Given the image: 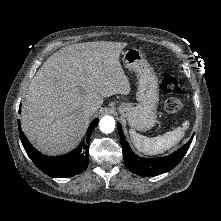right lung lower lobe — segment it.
I'll list each match as a JSON object with an SVG mask.
<instances>
[{
  "label": "right lung lower lobe",
  "mask_w": 221,
  "mask_h": 221,
  "mask_svg": "<svg viewBox=\"0 0 221 221\" xmlns=\"http://www.w3.org/2000/svg\"><path fill=\"white\" fill-rule=\"evenodd\" d=\"M98 121L95 119L90 124L85 143L73 152L57 157H49L37 151L22 132L19 120L18 128L23 147L34 164L50 177L66 178L77 175L87 168L89 164V140Z\"/></svg>",
  "instance_id": "1"
}]
</instances>
